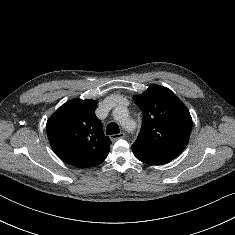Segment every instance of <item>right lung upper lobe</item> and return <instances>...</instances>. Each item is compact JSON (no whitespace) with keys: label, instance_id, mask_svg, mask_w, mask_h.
<instances>
[{"label":"right lung upper lobe","instance_id":"cb5924a9","mask_svg":"<svg viewBox=\"0 0 235 235\" xmlns=\"http://www.w3.org/2000/svg\"><path fill=\"white\" fill-rule=\"evenodd\" d=\"M96 101L73 99L47 121V137L53 151L70 165L89 168L101 164L111 141L95 115Z\"/></svg>","mask_w":235,"mask_h":235}]
</instances>
